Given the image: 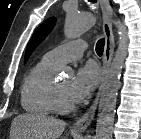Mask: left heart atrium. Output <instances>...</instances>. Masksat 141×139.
<instances>
[{"mask_svg": "<svg viewBox=\"0 0 141 139\" xmlns=\"http://www.w3.org/2000/svg\"><path fill=\"white\" fill-rule=\"evenodd\" d=\"M100 79L97 66L88 63L81 67L73 78L69 96L73 103H79L87 99L96 88Z\"/></svg>", "mask_w": 141, "mask_h": 139, "instance_id": "39dd6f15", "label": "left heart atrium"}]
</instances>
